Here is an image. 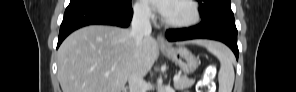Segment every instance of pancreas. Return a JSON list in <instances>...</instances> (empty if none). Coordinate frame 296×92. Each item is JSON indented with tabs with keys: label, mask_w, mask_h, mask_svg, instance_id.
<instances>
[{
	"label": "pancreas",
	"mask_w": 296,
	"mask_h": 92,
	"mask_svg": "<svg viewBox=\"0 0 296 92\" xmlns=\"http://www.w3.org/2000/svg\"><path fill=\"white\" fill-rule=\"evenodd\" d=\"M195 79H189L186 76L180 77V79L174 82V87L178 90L187 89L193 86Z\"/></svg>",
	"instance_id": "1"
}]
</instances>
